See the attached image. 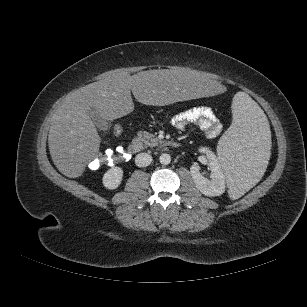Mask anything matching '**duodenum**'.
Wrapping results in <instances>:
<instances>
[{
	"instance_id": "duodenum-1",
	"label": "duodenum",
	"mask_w": 307,
	"mask_h": 307,
	"mask_svg": "<svg viewBox=\"0 0 307 307\" xmlns=\"http://www.w3.org/2000/svg\"><path fill=\"white\" fill-rule=\"evenodd\" d=\"M164 145L167 147H173V148H177L179 146V144L175 141H165ZM142 148V145L139 141H132L126 148V150L128 151L129 155H135L138 152H140Z\"/></svg>"
}]
</instances>
